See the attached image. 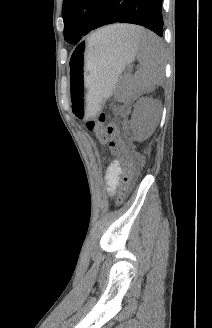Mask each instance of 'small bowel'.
Listing matches in <instances>:
<instances>
[{"label": "small bowel", "instance_id": "c3829d8e", "mask_svg": "<svg viewBox=\"0 0 212 328\" xmlns=\"http://www.w3.org/2000/svg\"><path fill=\"white\" fill-rule=\"evenodd\" d=\"M123 174V166L120 161L114 160L108 167L106 172V184L108 192L113 195L121 183Z\"/></svg>", "mask_w": 212, "mask_h": 328}]
</instances>
